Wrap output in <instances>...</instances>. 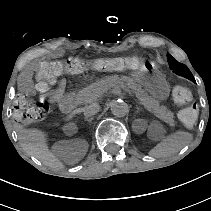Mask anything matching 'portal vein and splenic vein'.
I'll use <instances>...</instances> for the list:
<instances>
[{"label": "portal vein and splenic vein", "mask_w": 211, "mask_h": 211, "mask_svg": "<svg viewBox=\"0 0 211 211\" xmlns=\"http://www.w3.org/2000/svg\"><path fill=\"white\" fill-rule=\"evenodd\" d=\"M119 87H123V84H119ZM124 88H126L125 90L130 94L129 96L132 98L133 96L131 95L132 94V92L129 90V86H127V85H124ZM138 106H140V107H142L143 105L142 104H140V103H138L137 104ZM143 109H145L146 107L145 106H143L142 107Z\"/></svg>", "instance_id": "1"}]
</instances>
